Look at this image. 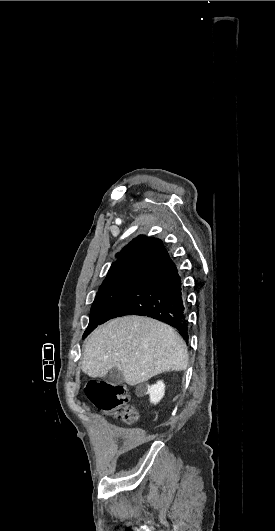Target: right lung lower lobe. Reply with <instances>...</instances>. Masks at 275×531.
<instances>
[{
  "label": "right lung lower lobe",
  "mask_w": 275,
  "mask_h": 531,
  "mask_svg": "<svg viewBox=\"0 0 275 531\" xmlns=\"http://www.w3.org/2000/svg\"><path fill=\"white\" fill-rule=\"evenodd\" d=\"M124 315L155 318L176 328L188 340L181 278L167 251L157 257L109 308L101 324Z\"/></svg>",
  "instance_id": "98d812e1"
}]
</instances>
